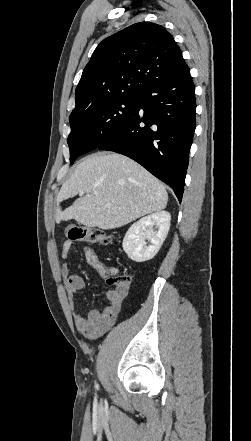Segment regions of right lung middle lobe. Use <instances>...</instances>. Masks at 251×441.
Returning <instances> with one entry per match:
<instances>
[{
  "instance_id": "obj_1",
  "label": "right lung middle lobe",
  "mask_w": 251,
  "mask_h": 441,
  "mask_svg": "<svg viewBox=\"0 0 251 441\" xmlns=\"http://www.w3.org/2000/svg\"><path fill=\"white\" fill-rule=\"evenodd\" d=\"M140 95L113 96L93 101L69 117L70 163L82 154L97 149L120 131L135 113Z\"/></svg>"
}]
</instances>
